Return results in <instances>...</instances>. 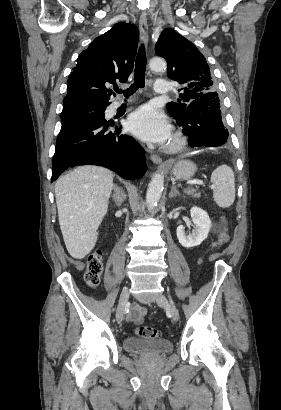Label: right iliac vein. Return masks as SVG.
Instances as JSON below:
<instances>
[{"mask_svg":"<svg viewBox=\"0 0 281 410\" xmlns=\"http://www.w3.org/2000/svg\"><path fill=\"white\" fill-rule=\"evenodd\" d=\"M129 299V290L127 288L123 289L119 298L118 307L116 311V320L121 323L123 320L125 307Z\"/></svg>","mask_w":281,"mask_h":410,"instance_id":"right-iliac-vein-1","label":"right iliac vein"}]
</instances>
